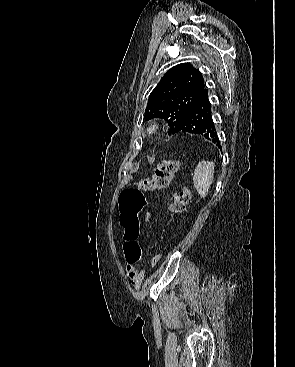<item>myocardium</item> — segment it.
Segmentation results:
<instances>
[{
	"mask_svg": "<svg viewBox=\"0 0 295 367\" xmlns=\"http://www.w3.org/2000/svg\"><path fill=\"white\" fill-rule=\"evenodd\" d=\"M159 130V125L157 123H150L145 128V133L147 135H153Z\"/></svg>",
	"mask_w": 295,
	"mask_h": 367,
	"instance_id": "myocardium-1",
	"label": "myocardium"
}]
</instances>
